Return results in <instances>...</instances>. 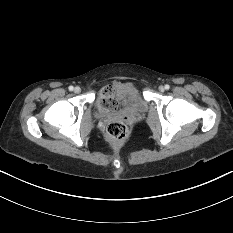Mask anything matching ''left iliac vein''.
I'll return each instance as SVG.
<instances>
[{"label": "left iliac vein", "instance_id": "left-iliac-vein-1", "mask_svg": "<svg viewBox=\"0 0 233 233\" xmlns=\"http://www.w3.org/2000/svg\"><path fill=\"white\" fill-rule=\"evenodd\" d=\"M159 91H160V92H164V91H165L164 86H159Z\"/></svg>", "mask_w": 233, "mask_h": 233}]
</instances>
